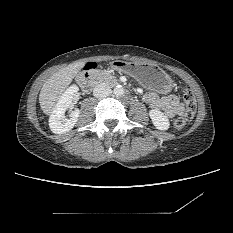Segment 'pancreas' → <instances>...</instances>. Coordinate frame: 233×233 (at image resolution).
Listing matches in <instances>:
<instances>
[{
  "label": "pancreas",
  "mask_w": 233,
  "mask_h": 233,
  "mask_svg": "<svg viewBox=\"0 0 233 233\" xmlns=\"http://www.w3.org/2000/svg\"><path fill=\"white\" fill-rule=\"evenodd\" d=\"M97 75H98L100 81H103L106 83L110 82L114 78L110 73H108L106 71H98Z\"/></svg>",
  "instance_id": "cf45deb5"
}]
</instances>
